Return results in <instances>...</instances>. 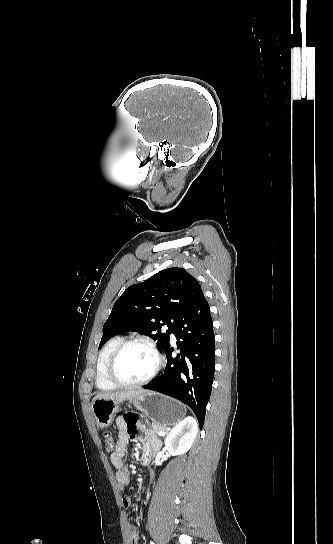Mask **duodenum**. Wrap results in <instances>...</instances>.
Segmentation results:
<instances>
[{
  "instance_id": "obj_1",
  "label": "duodenum",
  "mask_w": 333,
  "mask_h": 544,
  "mask_svg": "<svg viewBox=\"0 0 333 544\" xmlns=\"http://www.w3.org/2000/svg\"><path fill=\"white\" fill-rule=\"evenodd\" d=\"M148 460H149V457H148L147 455L143 454V456H142V463H143L144 465H146V464L148 463Z\"/></svg>"
}]
</instances>
